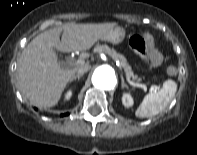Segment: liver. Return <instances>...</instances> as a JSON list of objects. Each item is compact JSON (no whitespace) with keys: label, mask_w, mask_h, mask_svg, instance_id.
<instances>
[{"label":"liver","mask_w":197,"mask_h":155,"mask_svg":"<svg viewBox=\"0 0 197 155\" xmlns=\"http://www.w3.org/2000/svg\"><path fill=\"white\" fill-rule=\"evenodd\" d=\"M115 26V23H69L36 36L24 48L18 61L17 81L23 97L39 108L55 106L77 69L89 64L83 63L72 69L65 68L58 62L53 48L61 52L88 50Z\"/></svg>","instance_id":"6515ba94"}]
</instances>
